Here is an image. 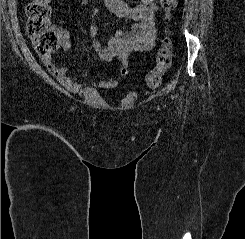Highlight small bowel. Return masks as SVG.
Returning <instances> with one entry per match:
<instances>
[{
	"label": "small bowel",
	"mask_w": 245,
	"mask_h": 239,
	"mask_svg": "<svg viewBox=\"0 0 245 239\" xmlns=\"http://www.w3.org/2000/svg\"><path fill=\"white\" fill-rule=\"evenodd\" d=\"M106 7L118 18L134 21L129 30H116L107 40L106 45L97 39L95 24H92L89 29V37L92 39L90 47L98 58L104 62L116 59L120 63L118 77L102 79L94 83V86L101 89H114L119 86L121 78L129 72V54L133 51L148 52L153 49L157 5L156 0H140L137 5H129L123 0H106ZM61 47L65 52H70L72 49L69 36L65 32L61 33ZM41 59L48 71L68 91L77 93L82 89L77 78L67 76L64 68L55 65L52 55L43 56Z\"/></svg>",
	"instance_id": "1"
}]
</instances>
